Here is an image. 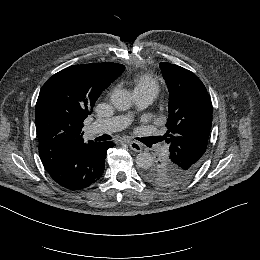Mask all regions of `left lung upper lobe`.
I'll list each match as a JSON object with an SVG mask.
<instances>
[{
    "label": "left lung upper lobe",
    "mask_w": 260,
    "mask_h": 260,
    "mask_svg": "<svg viewBox=\"0 0 260 260\" xmlns=\"http://www.w3.org/2000/svg\"><path fill=\"white\" fill-rule=\"evenodd\" d=\"M169 89L168 131L169 159L143 171L149 183L174 187L191 178L200 168L212 125V103L201 80L177 65L159 64Z\"/></svg>",
    "instance_id": "left-lung-upper-lobe-1"
}]
</instances>
